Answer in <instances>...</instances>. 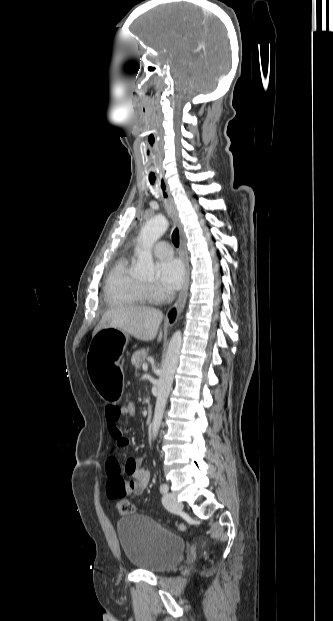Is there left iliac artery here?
Listing matches in <instances>:
<instances>
[{
    "label": "left iliac artery",
    "instance_id": "44dca946",
    "mask_svg": "<svg viewBox=\"0 0 333 621\" xmlns=\"http://www.w3.org/2000/svg\"><path fill=\"white\" fill-rule=\"evenodd\" d=\"M168 489L169 488H168L167 484L163 483V484L160 485V492L161 493H166L168 491Z\"/></svg>",
    "mask_w": 333,
    "mask_h": 621
}]
</instances>
